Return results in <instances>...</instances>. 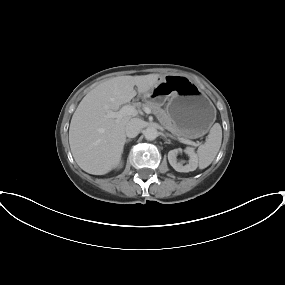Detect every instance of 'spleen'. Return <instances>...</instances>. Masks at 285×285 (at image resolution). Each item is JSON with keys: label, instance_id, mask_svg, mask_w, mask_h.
Segmentation results:
<instances>
[{"label": "spleen", "instance_id": "3e777b00", "mask_svg": "<svg viewBox=\"0 0 285 285\" xmlns=\"http://www.w3.org/2000/svg\"><path fill=\"white\" fill-rule=\"evenodd\" d=\"M222 142V128L215 123L207 136L206 142L197 150V159L200 169L207 168L217 156Z\"/></svg>", "mask_w": 285, "mask_h": 285}]
</instances>
